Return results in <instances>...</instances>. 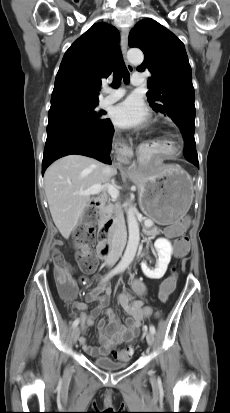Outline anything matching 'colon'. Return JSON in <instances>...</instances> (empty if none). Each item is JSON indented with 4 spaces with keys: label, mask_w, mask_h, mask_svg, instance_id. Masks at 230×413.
<instances>
[{
    "label": "colon",
    "mask_w": 230,
    "mask_h": 413,
    "mask_svg": "<svg viewBox=\"0 0 230 413\" xmlns=\"http://www.w3.org/2000/svg\"><path fill=\"white\" fill-rule=\"evenodd\" d=\"M96 221V211L93 207H89L85 213V222L80 227L79 231L74 237V247L79 251V261L81 268L88 272L93 270L97 266V258L88 251V247L94 241V226ZM176 225L182 230L187 225V219L181 218L176 222ZM191 245L190 240L184 236H179L176 243V252L178 258H185L187 251L185 248H189ZM51 259L53 262V272L56 279L59 290L67 297L73 296L75 292V282L70 276V267L65 260L63 254L54 249L51 253ZM178 280V275L175 273L168 274V278H161L159 299L162 302H166L171 294L172 290H175ZM128 355H132V348L123 350Z\"/></svg>",
    "instance_id": "obj_1"
}]
</instances>
